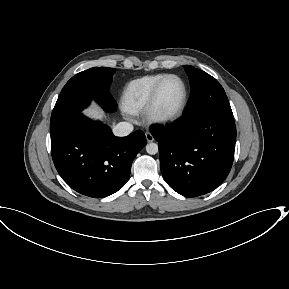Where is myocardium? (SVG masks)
Masks as SVG:
<instances>
[{
  "label": "myocardium",
  "mask_w": 289,
  "mask_h": 289,
  "mask_svg": "<svg viewBox=\"0 0 289 289\" xmlns=\"http://www.w3.org/2000/svg\"><path fill=\"white\" fill-rule=\"evenodd\" d=\"M169 79H177L182 83V85H183V98H182V101L179 104V106L174 111L169 112V113H164V112L159 110L158 100H159V95H160V92H161L163 85ZM188 95H189L188 86L182 77H180L179 75H175V74L166 75L164 78H162L157 83V85L155 86V88L152 91V94L150 96V99H149L148 104H147L146 109H145L146 119L150 123H154V124H169V123L176 121L178 118L181 117V115L183 114V112L186 108V105L188 102Z\"/></svg>",
  "instance_id": "obj_1"
}]
</instances>
